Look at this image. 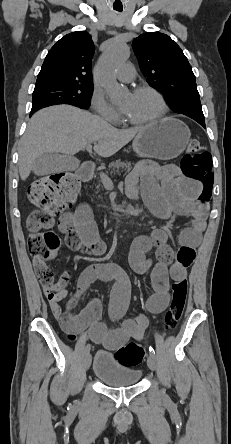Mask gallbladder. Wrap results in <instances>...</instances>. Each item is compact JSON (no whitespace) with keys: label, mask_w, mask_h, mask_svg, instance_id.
Returning <instances> with one entry per match:
<instances>
[{"label":"gallbladder","mask_w":231,"mask_h":444,"mask_svg":"<svg viewBox=\"0 0 231 444\" xmlns=\"http://www.w3.org/2000/svg\"><path fill=\"white\" fill-rule=\"evenodd\" d=\"M67 159H69L68 156L57 153L42 154L35 159L33 164V172L36 175L43 176L64 171L67 169V167L63 164V162Z\"/></svg>","instance_id":"gallbladder-1"}]
</instances>
